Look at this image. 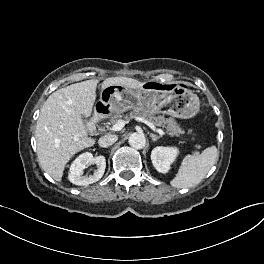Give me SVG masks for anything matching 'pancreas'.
<instances>
[{
    "mask_svg": "<svg viewBox=\"0 0 264 264\" xmlns=\"http://www.w3.org/2000/svg\"><path fill=\"white\" fill-rule=\"evenodd\" d=\"M135 117H141L147 120L148 122H150L154 126L162 127L171 136L180 137V135L184 133V131L179 126V124H177V122L172 118H165L163 115L155 116L154 114H147L136 110L130 112L129 114H125V115L116 114L112 116L110 118V121L105 123V127L107 129H111V125H114L119 120L124 119L125 121H129L130 119H133ZM196 147L198 148V146ZM193 153L198 154L197 151H194Z\"/></svg>",
    "mask_w": 264,
    "mask_h": 264,
    "instance_id": "1",
    "label": "pancreas"
}]
</instances>
